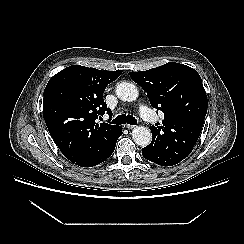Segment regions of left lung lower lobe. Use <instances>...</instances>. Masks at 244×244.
<instances>
[{
    "label": "left lung lower lobe",
    "mask_w": 244,
    "mask_h": 244,
    "mask_svg": "<svg viewBox=\"0 0 244 244\" xmlns=\"http://www.w3.org/2000/svg\"><path fill=\"white\" fill-rule=\"evenodd\" d=\"M142 155L146 159H148V160H150V161H152V162L157 164L158 158H157L155 152L149 146H146V147L142 148Z\"/></svg>",
    "instance_id": "obj_1"
}]
</instances>
